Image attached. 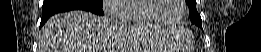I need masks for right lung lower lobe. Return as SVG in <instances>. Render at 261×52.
I'll list each match as a JSON object with an SVG mask.
<instances>
[{
  "mask_svg": "<svg viewBox=\"0 0 261 52\" xmlns=\"http://www.w3.org/2000/svg\"><path fill=\"white\" fill-rule=\"evenodd\" d=\"M43 14L41 18L40 27L48 20V18L59 12H66L70 10H86L97 15H104L101 8L86 5L79 0H44Z\"/></svg>",
  "mask_w": 261,
  "mask_h": 52,
  "instance_id": "obj_1",
  "label": "right lung lower lobe"
}]
</instances>
